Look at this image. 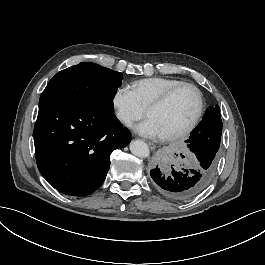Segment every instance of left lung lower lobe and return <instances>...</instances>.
<instances>
[{"mask_svg": "<svg viewBox=\"0 0 265 265\" xmlns=\"http://www.w3.org/2000/svg\"><path fill=\"white\" fill-rule=\"evenodd\" d=\"M197 160L190 168L156 167L150 171L151 184L163 196L185 201L200 194L212 181L217 166L220 143L191 134L186 141Z\"/></svg>", "mask_w": 265, "mask_h": 265, "instance_id": "0a47b994", "label": "left lung lower lobe"}]
</instances>
